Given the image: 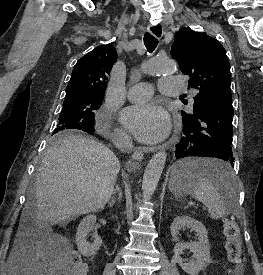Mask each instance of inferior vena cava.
Listing matches in <instances>:
<instances>
[{"instance_id":"obj_1","label":"inferior vena cava","mask_w":263,"mask_h":275,"mask_svg":"<svg viewBox=\"0 0 263 275\" xmlns=\"http://www.w3.org/2000/svg\"><path fill=\"white\" fill-rule=\"evenodd\" d=\"M115 146L121 151H127L133 147L132 140L127 134H120L115 138Z\"/></svg>"}]
</instances>
